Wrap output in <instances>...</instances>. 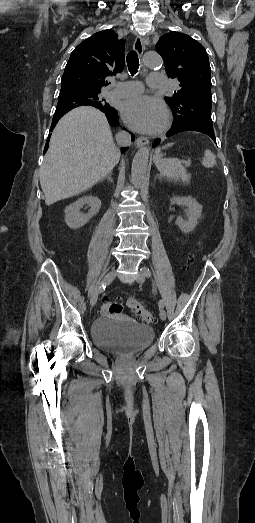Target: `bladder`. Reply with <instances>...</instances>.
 Wrapping results in <instances>:
<instances>
[{"label":"bladder","instance_id":"obj_1","mask_svg":"<svg viewBox=\"0 0 255 523\" xmlns=\"http://www.w3.org/2000/svg\"><path fill=\"white\" fill-rule=\"evenodd\" d=\"M91 338L98 348L106 351L136 353L152 344L154 332L146 324L103 317L93 323Z\"/></svg>","mask_w":255,"mask_h":523}]
</instances>
